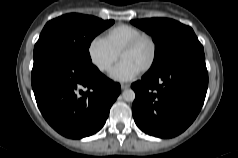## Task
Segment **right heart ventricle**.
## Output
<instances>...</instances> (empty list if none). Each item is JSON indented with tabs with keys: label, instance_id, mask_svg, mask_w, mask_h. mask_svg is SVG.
I'll return each instance as SVG.
<instances>
[{
	"label": "right heart ventricle",
	"instance_id": "e07e8e85",
	"mask_svg": "<svg viewBox=\"0 0 238 158\" xmlns=\"http://www.w3.org/2000/svg\"><path fill=\"white\" fill-rule=\"evenodd\" d=\"M142 33L143 32L135 26L120 24L108 29L104 33L103 39L119 54L126 43Z\"/></svg>",
	"mask_w": 238,
	"mask_h": 158
}]
</instances>
